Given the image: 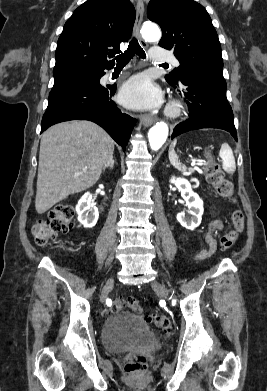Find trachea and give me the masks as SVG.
I'll return each mask as SVG.
<instances>
[{"label":"trachea","mask_w":267,"mask_h":391,"mask_svg":"<svg viewBox=\"0 0 267 391\" xmlns=\"http://www.w3.org/2000/svg\"><path fill=\"white\" fill-rule=\"evenodd\" d=\"M135 54L142 59L146 58L145 51L139 45L137 39L133 38L130 41L127 50L115 58L117 61V65H126ZM162 65H168V64L165 63Z\"/></svg>","instance_id":"1"}]
</instances>
